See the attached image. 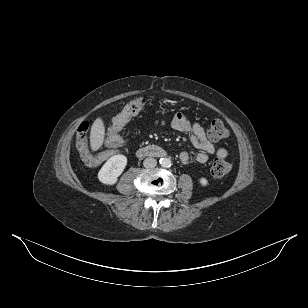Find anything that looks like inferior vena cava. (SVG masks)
<instances>
[{
	"instance_id": "602c4592",
	"label": "inferior vena cava",
	"mask_w": 308,
	"mask_h": 308,
	"mask_svg": "<svg viewBox=\"0 0 308 308\" xmlns=\"http://www.w3.org/2000/svg\"><path fill=\"white\" fill-rule=\"evenodd\" d=\"M143 165L145 168H154L157 165V160L152 157H148L144 160Z\"/></svg>"
}]
</instances>
